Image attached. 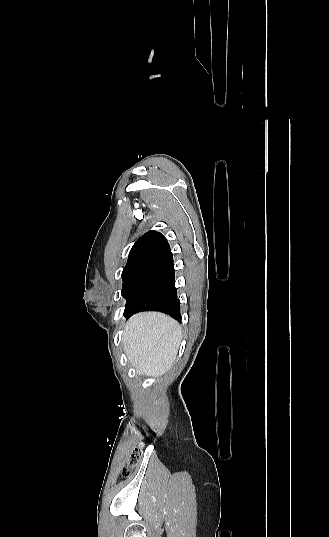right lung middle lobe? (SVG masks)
<instances>
[{
  "label": "right lung middle lobe",
  "mask_w": 329,
  "mask_h": 537,
  "mask_svg": "<svg viewBox=\"0 0 329 537\" xmlns=\"http://www.w3.org/2000/svg\"><path fill=\"white\" fill-rule=\"evenodd\" d=\"M148 264L136 263L125 266L122 272L123 287H122V296L126 297L128 290L131 285L138 277V275L147 267Z\"/></svg>",
  "instance_id": "right-lung-middle-lobe-1"
}]
</instances>
